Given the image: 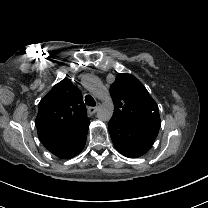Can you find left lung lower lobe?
<instances>
[{"instance_id":"left-lung-lower-lobe-1","label":"left lung lower lobe","mask_w":208,"mask_h":208,"mask_svg":"<svg viewBox=\"0 0 208 208\" xmlns=\"http://www.w3.org/2000/svg\"><path fill=\"white\" fill-rule=\"evenodd\" d=\"M108 129L116 150L128 158L141 157L153 145L132 126L118 120L111 119Z\"/></svg>"}]
</instances>
